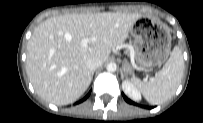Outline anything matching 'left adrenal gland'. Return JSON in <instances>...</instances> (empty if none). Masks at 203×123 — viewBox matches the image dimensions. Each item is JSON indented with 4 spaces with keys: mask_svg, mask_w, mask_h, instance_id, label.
<instances>
[{
    "mask_svg": "<svg viewBox=\"0 0 203 123\" xmlns=\"http://www.w3.org/2000/svg\"><path fill=\"white\" fill-rule=\"evenodd\" d=\"M120 73H121V78L123 79V78H124V72H123V69L120 70Z\"/></svg>",
    "mask_w": 203,
    "mask_h": 123,
    "instance_id": "1",
    "label": "left adrenal gland"
}]
</instances>
